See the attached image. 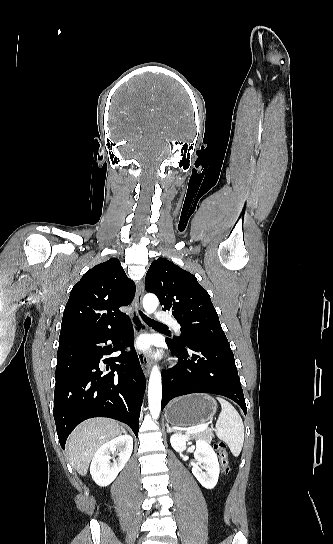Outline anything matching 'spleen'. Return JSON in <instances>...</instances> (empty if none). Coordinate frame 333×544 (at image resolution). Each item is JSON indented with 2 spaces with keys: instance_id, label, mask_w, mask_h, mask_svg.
Listing matches in <instances>:
<instances>
[{
  "instance_id": "obj_1",
  "label": "spleen",
  "mask_w": 333,
  "mask_h": 544,
  "mask_svg": "<svg viewBox=\"0 0 333 544\" xmlns=\"http://www.w3.org/2000/svg\"><path fill=\"white\" fill-rule=\"evenodd\" d=\"M222 410L216 422L217 437L227 443L232 454L237 457L244 443V425L240 414L227 400L217 397Z\"/></svg>"
}]
</instances>
